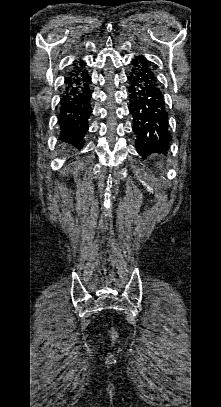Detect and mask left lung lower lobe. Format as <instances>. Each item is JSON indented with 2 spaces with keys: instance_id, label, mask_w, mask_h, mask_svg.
Returning <instances> with one entry per match:
<instances>
[{
  "instance_id": "obj_1",
  "label": "left lung lower lobe",
  "mask_w": 221,
  "mask_h": 407,
  "mask_svg": "<svg viewBox=\"0 0 221 407\" xmlns=\"http://www.w3.org/2000/svg\"><path fill=\"white\" fill-rule=\"evenodd\" d=\"M128 80L137 152L143 157L166 152L171 136L164 95L154 69L144 56L132 60Z\"/></svg>"
}]
</instances>
